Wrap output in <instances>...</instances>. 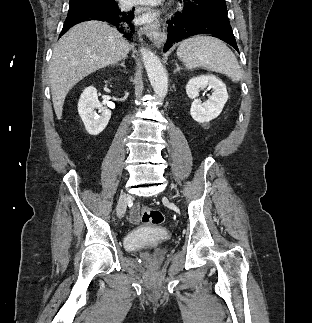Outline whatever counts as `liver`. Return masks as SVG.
Returning a JSON list of instances; mask_svg holds the SVG:
<instances>
[{"label":"liver","mask_w":312,"mask_h":323,"mask_svg":"<svg viewBox=\"0 0 312 323\" xmlns=\"http://www.w3.org/2000/svg\"><path fill=\"white\" fill-rule=\"evenodd\" d=\"M130 44L107 22H81L70 28L53 48L49 66L52 102L58 120L69 90L100 68L127 58Z\"/></svg>","instance_id":"6515ba94"}]
</instances>
